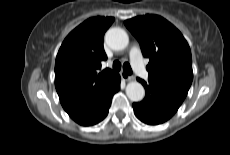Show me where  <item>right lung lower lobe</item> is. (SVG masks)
<instances>
[{
  "mask_svg": "<svg viewBox=\"0 0 230 155\" xmlns=\"http://www.w3.org/2000/svg\"><path fill=\"white\" fill-rule=\"evenodd\" d=\"M120 81V75L117 74L109 88L95 101L67 113L75 122L83 126L99 123L107 116L112 97L120 89Z\"/></svg>",
  "mask_w": 230,
  "mask_h": 155,
  "instance_id": "obj_1",
  "label": "right lung lower lobe"
}]
</instances>
